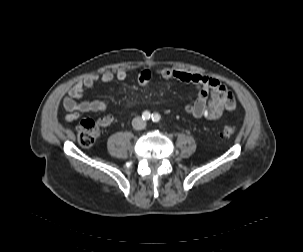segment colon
<instances>
[{"mask_svg":"<svg viewBox=\"0 0 303 252\" xmlns=\"http://www.w3.org/2000/svg\"><path fill=\"white\" fill-rule=\"evenodd\" d=\"M78 139L82 146L90 147L95 144L99 137V128L92 119L83 120L78 128ZM236 133L233 126H224L221 132L222 137L229 138Z\"/></svg>","mask_w":303,"mask_h":252,"instance_id":"colon-1","label":"colon"}]
</instances>
